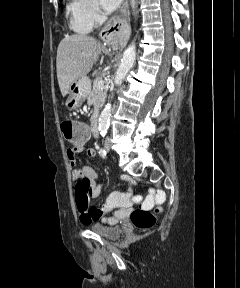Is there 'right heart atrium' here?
I'll return each instance as SVG.
<instances>
[{"label": "right heart atrium", "mask_w": 240, "mask_h": 288, "mask_svg": "<svg viewBox=\"0 0 240 288\" xmlns=\"http://www.w3.org/2000/svg\"><path fill=\"white\" fill-rule=\"evenodd\" d=\"M85 18L91 24H97L102 21L103 13L97 0H80Z\"/></svg>", "instance_id": "right-heart-atrium-1"}]
</instances>
